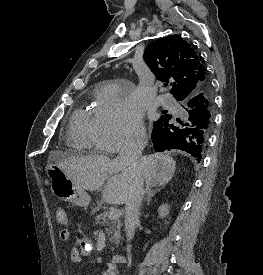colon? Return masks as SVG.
Segmentation results:
<instances>
[{
	"mask_svg": "<svg viewBox=\"0 0 263 275\" xmlns=\"http://www.w3.org/2000/svg\"><path fill=\"white\" fill-rule=\"evenodd\" d=\"M56 220L61 225H66L68 223V213L65 208L60 207L56 210ZM64 230L65 229H63V231H62L63 238L66 237V233Z\"/></svg>",
	"mask_w": 263,
	"mask_h": 275,
	"instance_id": "colon-1",
	"label": "colon"
}]
</instances>
